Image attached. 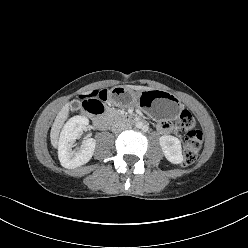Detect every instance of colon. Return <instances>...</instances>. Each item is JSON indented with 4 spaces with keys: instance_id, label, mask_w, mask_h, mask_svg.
<instances>
[{
    "instance_id": "1",
    "label": "colon",
    "mask_w": 248,
    "mask_h": 248,
    "mask_svg": "<svg viewBox=\"0 0 248 248\" xmlns=\"http://www.w3.org/2000/svg\"><path fill=\"white\" fill-rule=\"evenodd\" d=\"M105 92L92 93L83 97V104L91 106L99 111H103L102 98ZM178 125L185 134L183 145V163L189 165L193 163L199 154L202 146V133L197 126V122L188 110H183L178 119Z\"/></svg>"
}]
</instances>
